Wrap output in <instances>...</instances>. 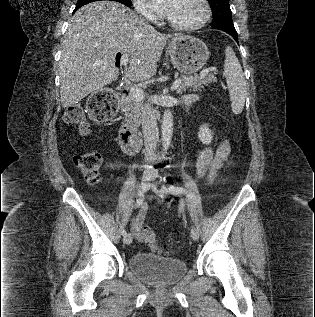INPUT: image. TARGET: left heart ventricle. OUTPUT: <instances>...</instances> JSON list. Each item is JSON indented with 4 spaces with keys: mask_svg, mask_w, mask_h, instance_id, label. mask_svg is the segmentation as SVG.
<instances>
[{
    "mask_svg": "<svg viewBox=\"0 0 315 317\" xmlns=\"http://www.w3.org/2000/svg\"><path fill=\"white\" fill-rule=\"evenodd\" d=\"M203 16V6L200 0H176L175 7L168 16L179 24H191Z\"/></svg>",
    "mask_w": 315,
    "mask_h": 317,
    "instance_id": "left-heart-ventricle-1",
    "label": "left heart ventricle"
}]
</instances>
